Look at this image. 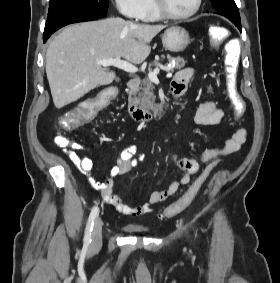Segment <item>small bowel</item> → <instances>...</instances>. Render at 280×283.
Here are the masks:
<instances>
[{"label":"small bowel","mask_w":280,"mask_h":283,"mask_svg":"<svg viewBox=\"0 0 280 283\" xmlns=\"http://www.w3.org/2000/svg\"><path fill=\"white\" fill-rule=\"evenodd\" d=\"M194 70L185 68L180 70L174 77L171 91L175 96L182 95L193 77ZM209 93H211L209 89ZM224 118V112L216 106L212 98L204 101L196 110L194 120L197 124L203 126H214L219 124ZM247 131L244 127H239L224 145L220 148H210L199 153L197 158L173 156L174 164L182 170L183 174L180 179L172 181L165 190L153 191L147 202L138 205H128L114 193L113 179L116 176L126 174L135 168L140 160L136 148L133 145L125 146L117 157V164L110 172V176L102 183L95 182L92 178V169L94 162L89 156H81L75 151H70L67 155L70 161L78 170L87 176L93 186L101 192L102 198L106 204L115 208L123 215L139 217L152 212L153 205L166 201L174 195L181 186L190 183L193 176L197 175L201 169V163H213L220 158L238 151L244 144Z\"/></svg>","instance_id":"c3829d8e"}]
</instances>
